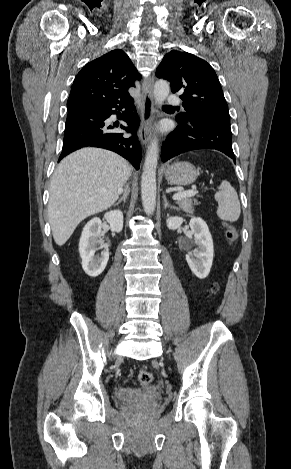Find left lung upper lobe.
Here are the masks:
<instances>
[{"label": "left lung upper lobe", "mask_w": 291, "mask_h": 469, "mask_svg": "<svg viewBox=\"0 0 291 469\" xmlns=\"http://www.w3.org/2000/svg\"><path fill=\"white\" fill-rule=\"evenodd\" d=\"M156 76L167 79L172 92L181 94L185 112L176 116L179 124L198 117L230 125L220 82L205 60L187 52L172 50L164 56Z\"/></svg>", "instance_id": "5c2ea615"}]
</instances>
